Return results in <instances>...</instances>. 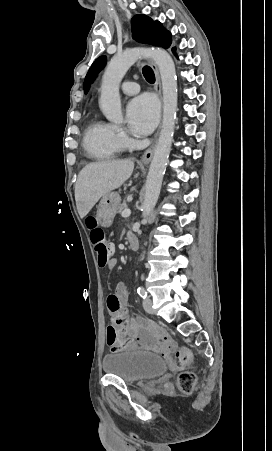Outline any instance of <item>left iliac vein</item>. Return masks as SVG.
I'll return each mask as SVG.
<instances>
[{
	"instance_id": "4c4485c4",
	"label": "left iliac vein",
	"mask_w": 272,
	"mask_h": 451,
	"mask_svg": "<svg viewBox=\"0 0 272 451\" xmlns=\"http://www.w3.org/2000/svg\"><path fill=\"white\" fill-rule=\"evenodd\" d=\"M143 309L148 313H154L152 308V300L148 297L143 299Z\"/></svg>"
}]
</instances>
